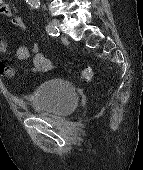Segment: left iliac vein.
Segmentation results:
<instances>
[{"label": "left iliac vein", "mask_w": 143, "mask_h": 170, "mask_svg": "<svg viewBox=\"0 0 143 170\" xmlns=\"http://www.w3.org/2000/svg\"><path fill=\"white\" fill-rule=\"evenodd\" d=\"M51 24L55 25V26H59L60 21L58 19H54L51 21Z\"/></svg>", "instance_id": "left-iliac-vein-1"}]
</instances>
